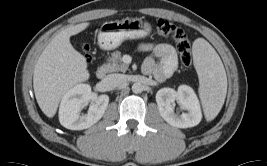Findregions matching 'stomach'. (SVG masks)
<instances>
[{"label":"stomach","instance_id":"0dacf381","mask_svg":"<svg viewBox=\"0 0 267 166\" xmlns=\"http://www.w3.org/2000/svg\"><path fill=\"white\" fill-rule=\"evenodd\" d=\"M151 31V25L138 18H125L121 21L105 22L98 34V44L103 50H113L125 40L146 37Z\"/></svg>","mask_w":267,"mask_h":166}]
</instances>
